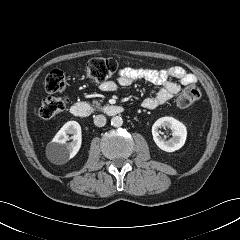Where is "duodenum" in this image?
Segmentation results:
<instances>
[{
  "label": "duodenum",
  "mask_w": 240,
  "mask_h": 240,
  "mask_svg": "<svg viewBox=\"0 0 240 240\" xmlns=\"http://www.w3.org/2000/svg\"><path fill=\"white\" fill-rule=\"evenodd\" d=\"M124 108L120 105L106 104L100 107H94L87 102H76L70 107V113L78 118H85L93 113H104L109 116H116L121 114Z\"/></svg>",
  "instance_id": "1"
}]
</instances>
